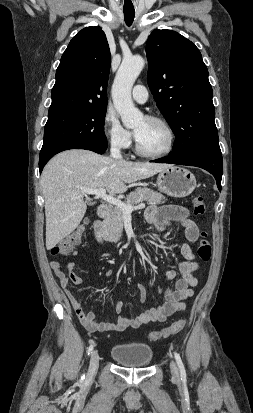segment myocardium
Masks as SVG:
<instances>
[{"mask_svg":"<svg viewBox=\"0 0 253 413\" xmlns=\"http://www.w3.org/2000/svg\"><path fill=\"white\" fill-rule=\"evenodd\" d=\"M146 119L161 125L166 130V132L168 134V143H167V146L161 151L148 152V151L143 150L140 147V145L137 141V138L135 136V151H136V153L139 154L140 156H143V157H146V158H158V157H162V156H165V155L169 154L172 151V149L174 147V144H175V140H176V135H175L174 129L172 128L170 123L162 117L147 116Z\"/></svg>","mask_w":253,"mask_h":413,"instance_id":"obj_1","label":"myocardium"}]
</instances>
